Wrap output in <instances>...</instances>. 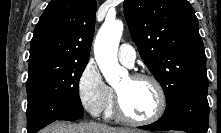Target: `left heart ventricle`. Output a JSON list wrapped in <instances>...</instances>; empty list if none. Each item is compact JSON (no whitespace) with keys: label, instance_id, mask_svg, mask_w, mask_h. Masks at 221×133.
Wrapping results in <instances>:
<instances>
[{"label":"left heart ventricle","instance_id":"1","mask_svg":"<svg viewBox=\"0 0 221 133\" xmlns=\"http://www.w3.org/2000/svg\"><path fill=\"white\" fill-rule=\"evenodd\" d=\"M123 109L127 115L136 119L150 117L158 105L157 92L147 80H132L125 77L117 86Z\"/></svg>","mask_w":221,"mask_h":133}]
</instances>
